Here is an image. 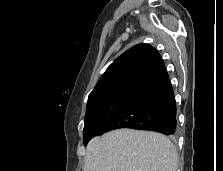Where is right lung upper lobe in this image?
Listing matches in <instances>:
<instances>
[{
	"mask_svg": "<svg viewBox=\"0 0 223 171\" xmlns=\"http://www.w3.org/2000/svg\"><path fill=\"white\" fill-rule=\"evenodd\" d=\"M167 76L157 50L148 44H138L107 68L90 93L88 103L114 94L138 95Z\"/></svg>",
	"mask_w": 223,
	"mask_h": 171,
	"instance_id": "1",
	"label": "right lung upper lobe"
}]
</instances>
